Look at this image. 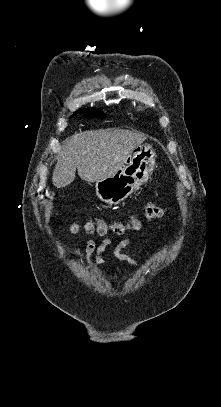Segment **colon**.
<instances>
[{"label":"colon","instance_id":"1","mask_svg":"<svg viewBox=\"0 0 221 407\" xmlns=\"http://www.w3.org/2000/svg\"><path fill=\"white\" fill-rule=\"evenodd\" d=\"M166 213L165 207L155 204L148 205L145 209V216L150 220L160 218ZM80 228L78 224H74L71 227L74 232L79 231ZM82 228L88 233H98L101 235L106 234L109 230L114 231L116 234H123L128 230H139L140 223L135 217H130L124 222H114L111 225L106 224L103 220H88Z\"/></svg>","mask_w":221,"mask_h":407}]
</instances>
